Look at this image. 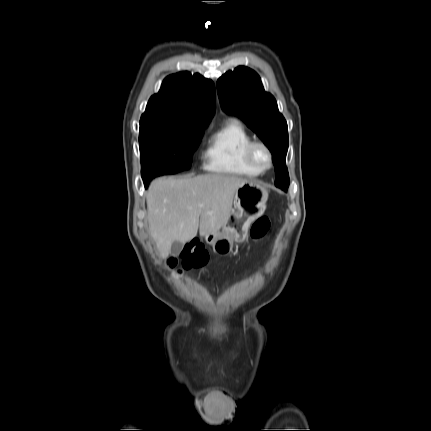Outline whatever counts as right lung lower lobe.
<instances>
[{
  "label": "right lung lower lobe",
  "instance_id": "98d812e1",
  "mask_svg": "<svg viewBox=\"0 0 431 431\" xmlns=\"http://www.w3.org/2000/svg\"><path fill=\"white\" fill-rule=\"evenodd\" d=\"M153 178H146V179H143V181H144V185H145V188H147L148 187V185H149V183H150V181L152 180Z\"/></svg>",
  "mask_w": 431,
  "mask_h": 431
}]
</instances>
